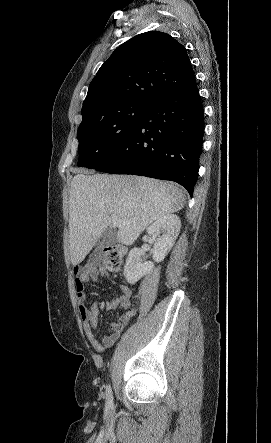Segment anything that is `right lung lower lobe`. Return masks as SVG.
Listing matches in <instances>:
<instances>
[{"instance_id": "1", "label": "right lung lower lobe", "mask_w": 271, "mask_h": 443, "mask_svg": "<svg viewBox=\"0 0 271 443\" xmlns=\"http://www.w3.org/2000/svg\"><path fill=\"white\" fill-rule=\"evenodd\" d=\"M196 81L150 102L139 123L111 158L96 168L175 181L192 195L204 133Z\"/></svg>"}]
</instances>
